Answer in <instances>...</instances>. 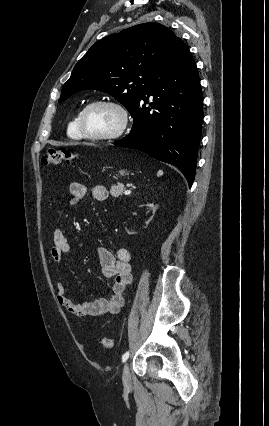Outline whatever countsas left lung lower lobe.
<instances>
[{"label": "left lung lower lobe", "mask_w": 269, "mask_h": 426, "mask_svg": "<svg viewBox=\"0 0 269 426\" xmlns=\"http://www.w3.org/2000/svg\"><path fill=\"white\" fill-rule=\"evenodd\" d=\"M153 103L146 107L148 98ZM134 125L116 146L143 151L176 166L192 186L203 120V95L195 61L177 38L130 111Z\"/></svg>", "instance_id": "0a47b994"}]
</instances>
